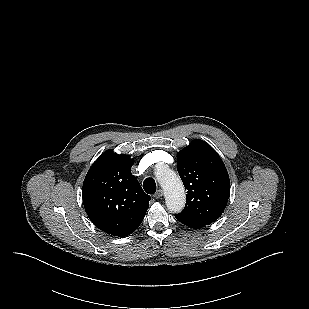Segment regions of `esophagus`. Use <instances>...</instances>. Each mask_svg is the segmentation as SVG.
<instances>
[{
	"mask_svg": "<svg viewBox=\"0 0 309 309\" xmlns=\"http://www.w3.org/2000/svg\"><path fill=\"white\" fill-rule=\"evenodd\" d=\"M163 196V190L162 189H159L155 194H154V197L156 199H159Z\"/></svg>",
	"mask_w": 309,
	"mask_h": 309,
	"instance_id": "1",
	"label": "esophagus"
}]
</instances>
